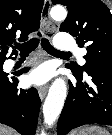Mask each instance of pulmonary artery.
Wrapping results in <instances>:
<instances>
[{"label": "pulmonary artery", "mask_w": 112, "mask_h": 135, "mask_svg": "<svg viewBox=\"0 0 112 135\" xmlns=\"http://www.w3.org/2000/svg\"><path fill=\"white\" fill-rule=\"evenodd\" d=\"M54 44L57 49L61 51H75L80 62L84 63L83 52L77 50L76 44L73 38L65 33H58L54 40Z\"/></svg>", "instance_id": "pulmonary-artery-1"}]
</instances>
